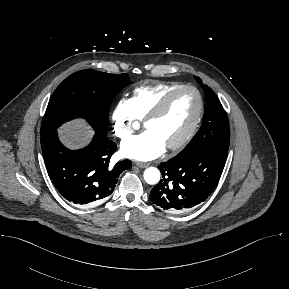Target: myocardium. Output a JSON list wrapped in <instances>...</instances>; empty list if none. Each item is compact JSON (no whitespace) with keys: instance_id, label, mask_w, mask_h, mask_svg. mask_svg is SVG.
I'll return each mask as SVG.
<instances>
[{"instance_id":"myocardium-1","label":"myocardium","mask_w":289,"mask_h":289,"mask_svg":"<svg viewBox=\"0 0 289 289\" xmlns=\"http://www.w3.org/2000/svg\"><path fill=\"white\" fill-rule=\"evenodd\" d=\"M187 90L193 91L197 95V98H198L197 113H196V116L193 120L191 127L186 132V134L176 143L166 146V149L170 151H176L186 146L192 140V138L195 136V134L197 133L199 129V126L203 117V113H204V99L199 89L192 85H182L170 91L167 95H165V97L159 102V104L144 119L143 124L145 127L146 124H148L149 122L160 118L169 107L173 98L179 93L183 91H187Z\"/></svg>"}]
</instances>
